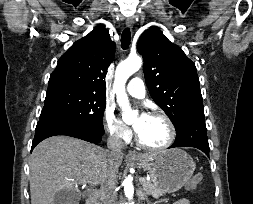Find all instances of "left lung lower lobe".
Wrapping results in <instances>:
<instances>
[{"label": "left lung lower lobe", "mask_w": 253, "mask_h": 204, "mask_svg": "<svg viewBox=\"0 0 253 204\" xmlns=\"http://www.w3.org/2000/svg\"><path fill=\"white\" fill-rule=\"evenodd\" d=\"M176 132V140L170 148L195 147L209 156V144L204 121V111L195 112L189 115L176 128Z\"/></svg>", "instance_id": "obj_1"}]
</instances>
